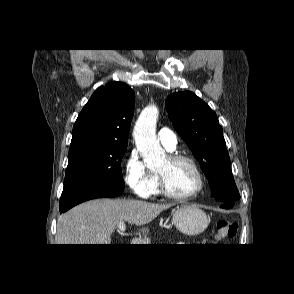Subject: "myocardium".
<instances>
[{
	"label": "myocardium",
	"mask_w": 294,
	"mask_h": 294,
	"mask_svg": "<svg viewBox=\"0 0 294 294\" xmlns=\"http://www.w3.org/2000/svg\"><path fill=\"white\" fill-rule=\"evenodd\" d=\"M168 160L171 164H177L181 162L188 163L193 168L197 176L198 184L195 190L189 194H176L170 190L165 177L158 173L159 189L164 196L173 200L186 201L194 198L204 189L205 178L200 166L198 165L195 159L186 155L176 154L168 157Z\"/></svg>",
	"instance_id": "myocardium-1"
}]
</instances>
